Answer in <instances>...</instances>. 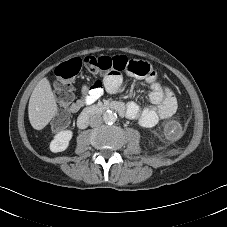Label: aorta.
Wrapping results in <instances>:
<instances>
[{
  "mask_svg": "<svg viewBox=\"0 0 227 227\" xmlns=\"http://www.w3.org/2000/svg\"><path fill=\"white\" fill-rule=\"evenodd\" d=\"M116 119H117V114L111 110H107L103 114V120L107 124H113L116 121Z\"/></svg>",
  "mask_w": 227,
  "mask_h": 227,
  "instance_id": "obj_1",
  "label": "aorta"
}]
</instances>
